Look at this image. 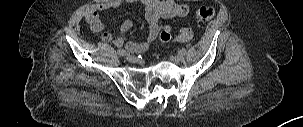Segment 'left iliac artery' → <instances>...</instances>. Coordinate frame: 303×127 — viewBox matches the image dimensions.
I'll return each instance as SVG.
<instances>
[{
  "label": "left iliac artery",
  "instance_id": "1",
  "mask_svg": "<svg viewBox=\"0 0 303 127\" xmlns=\"http://www.w3.org/2000/svg\"><path fill=\"white\" fill-rule=\"evenodd\" d=\"M186 53H187L186 49H184V48L180 49L179 52H178V54L182 55V56L186 55Z\"/></svg>",
  "mask_w": 303,
  "mask_h": 127
}]
</instances>
